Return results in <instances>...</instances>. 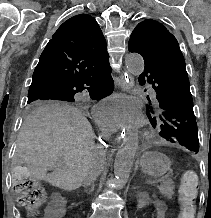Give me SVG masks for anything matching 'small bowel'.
<instances>
[{"label": "small bowel", "mask_w": 211, "mask_h": 218, "mask_svg": "<svg viewBox=\"0 0 211 218\" xmlns=\"http://www.w3.org/2000/svg\"><path fill=\"white\" fill-rule=\"evenodd\" d=\"M58 209L54 206H49L46 209V218H56ZM154 218H166V206L162 202H155L153 205Z\"/></svg>", "instance_id": "1"}]
</instances>
